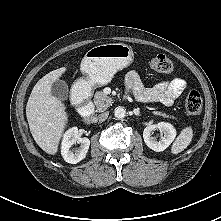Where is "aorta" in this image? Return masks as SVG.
<instances>
[{"mask_svg": "<svg viewBox=\"0 0 221 221\" xmlns=\"http://www.w3.org/2000/svg\"><path fill=\"white\" fill-rule=\"evenodd\" d=\"M114 115L118 119H122L126 116V109L124 107L118 106L114 110Z\"/></svg>", "mask_w": 221, "mask_h": 221, "instance_id": "762f6f07", "label": "aorta"}]
</instances>
